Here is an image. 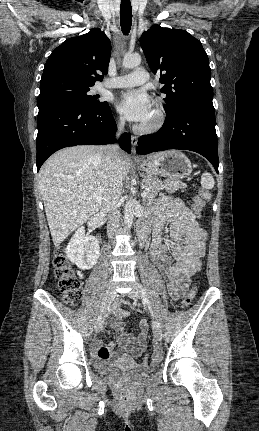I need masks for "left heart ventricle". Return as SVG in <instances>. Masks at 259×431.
I'll list each match as a JSON object with an SVG mask.
<instances>
[{
    "label": "left heart ventricle",
    "mask_w": 259,
    "mask_h": 431,
    "mask_svg": "<svg viewBox=\"0 0 259 431\" xmlns=\"http://www.w3.org/2000/svg\"><path fill=\"white\" fill-rule=\"evenodd\" d=\"M153 119H154V112L152 111V114H151V116L148 118V120H146L144 123H142V124H149V123H151L152 121H153Z\"/></svg>",
    "instance_id": "b2bd125f"
}]
</instances>
